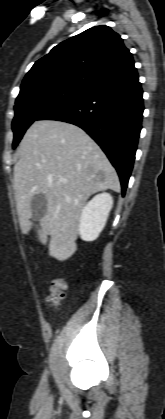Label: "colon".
Listing matches in <instances>:
<instances>
[{"label": "colon", "mask_w": 165, "mask_h": 419, "mask_svg": "<svg viewBox=\"0 0 165 419\" xmlns=\"http://www.w3.org/2000/svg\"><path fill=\"white\" fill-rule=\"evenodd\" d=\"M67 282L63 277L55 278L50 287V295L48 301L53 305H58L65 297Z\"/></svg>", "instance_id": "obj_1"}]
</instances>
